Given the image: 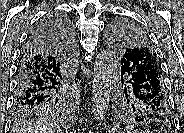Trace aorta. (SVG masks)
Segmentation results:
<instances>
[{
	"mask_svg": "<svg viewBox=\"0 0 184 133\" xmlns=\"http://www.w3.org/2000/svg\"><path fill=\"white\" fill-rule=\"evenodd\" d=\"M113 60L108 51L98 53L94 62L92 84V113L97 121H102L109 107Z\"/></svg>",
	"mask_w": 184,
	"mask_h": 133,
	"instance_id": "762f6f07",
	"label": "aorta"
}]
</instances>
